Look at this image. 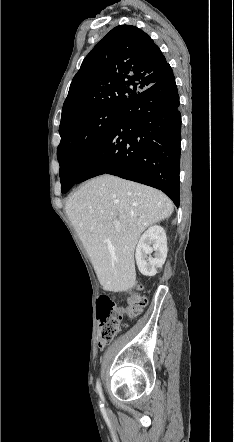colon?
<instances>
[{
  "instance_id": "obj_1",
  "label": "colon",
  "mask_w": 234,
  "mask_h": 442,
  "mask_svg": "<svg viewBox=\"0 0 234 442\" xmlns=\"http://www.w3.org/2000/svg\"><path fill=\"white\" fill-rule=\"evenodd\" d=\"M147 300L138 292H134L128 299L126 307H118L106 296L97 300L98 343L101 348L108 345L116 336L124 316L136 318L144 310Z\"/></svg>"
}]
</instances>
